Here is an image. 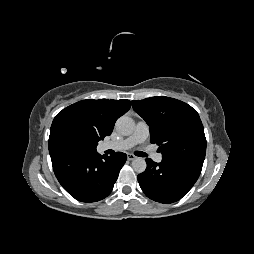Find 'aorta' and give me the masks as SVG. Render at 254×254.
Masks as SVG:
<instances>
[{"instance_id": "aorta-1", "label": "aorta", "mask_w": 254, "mask_h": 254, "mask_svg": "<svg viewBox=\"0 0 254 254\" xmlns=\"http://www.w3.org/2000/svg\"><path fill=\"white\" fill-rule=\"evenodd\" d=\"M115 127L118 132L127 136L134 131L135 122L131 117L124 115L117 119ZM132 168L137 173H143L147 168V163L144 158L136 157L132 161Z\"/></svg>"}]
</instances>
